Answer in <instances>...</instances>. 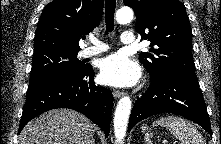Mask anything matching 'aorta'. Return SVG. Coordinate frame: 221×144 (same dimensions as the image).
Instances as JSON below:
<instances>
[{
	"label": "aorta",
	"instance_id": "obj_1",
	"mask_svg": "<svg viewBox=\"0 0 221 144\" xmlns=\"http://www.w3.org/2000/svg\"><path fill=\"white\" fill-rule=\"evenodd\" d=\"M133 16L131 8L122 7L116 13V20L119 24H127L132 21ZM130 112L131 99L129 96H124L119 100L114 114V133L117 141H122L126 136Z\"/></svg>",
	"mask_w": 221,
	"mask_h": 144
}]
</instances>
